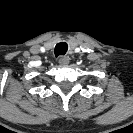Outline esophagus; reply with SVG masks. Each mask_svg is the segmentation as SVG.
Returning <instances> with one entry per match:
<instances>
[{"instance_id": "esophagus-1", "label": "esophagus", "mask_w": 133, "mask_h": 133, "mask_svg": "<svg viewBox=\"0 0 133 133\" xmlns=\"http://www.w3.org/2000/svg\"><path fill=\"white\" fill-rule=\"evenodd\" d=\"M58 62L61 66L67 65L69 63V58L67 56H61Z\"/></svg>"}]
</instances>
